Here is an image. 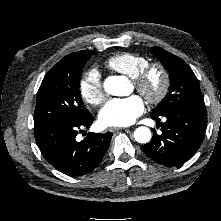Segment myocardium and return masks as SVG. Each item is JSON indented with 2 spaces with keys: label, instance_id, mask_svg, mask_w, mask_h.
Returning <instances> with one entry per match:
<instances>
[{
  "label": "myocardium",
  "instance_id": "obj_1",
  "mask_svg": "<svg viewBox=\"0 0 221 221\" xmlns=\"http://www.w3.org/2000/svg\"><path fill=\"white\" fill-rule=\"evenodd\" d=\"M158 73L160 76V87L156 92L148 90V82L153 73ZM133 83L136 90L151 104H158L167 96L171 78L168 69L160 62L148 63L138 74L133 78Z\"/></svg>",
  "mask_w": 221,
  "mask_h": 221
}]
</instances>
